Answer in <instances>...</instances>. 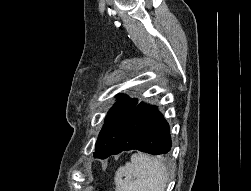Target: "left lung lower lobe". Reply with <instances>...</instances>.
Returning a JSON list of instances; mask_svg holds the SVG:
<instances>
[{"instance_id":"1","label":"left lung lower lobe","mask_w":251,"mask_h":191,"mask_svg":"<svg viewBox=\"0 0 251 191\" xmlns=\"http://www.w3.org/2000/svg\"><path fill=\"white\" fill-rule=\"evenodd\" d=\"M133 149L152 155H164L171 150L169 125L156 106L137 104L108 157Z\"/></svg>"}]
</instances>
